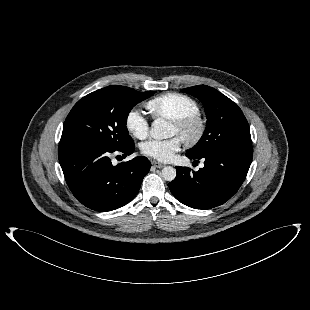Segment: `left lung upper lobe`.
Segmentation results:
<instances>
[{"label": "left lung upper lobe", "mask_w": 310, "mask_h": 310, "mask_svg": "<svg viewBox=\"0 0 310 310\" xmlns=\"http://www.w3.org/2000/svg\"><path fill=\"white\" fill-rule=\"evenodd\" d=\"M182 92L198 98L204 105L207 128L199 142L186 153L201 159L211 153L233 148H251L248 122L241 109L214 88L198 85Z\"/></svg>", "instance_id": "obj_1"}]
</instances>
